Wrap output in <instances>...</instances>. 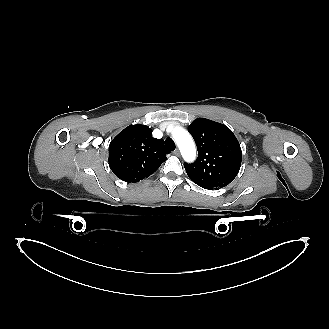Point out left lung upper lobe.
Returning <instances> with one entry per match:
<instances>
[{
  "label": "left lung upper lobe",
  "mask_w": 329,
  "mask_h": 329,
  "mask_svg": "<svg viewBox=\"0 0 329 329\" xmlns=\"http://www.w3.org/2000/svg\"><path fill=\"white\" fill-rule=\"evenodd\" d=\"M198 150L194 163L185 164L189 178L205 189L227 186L239 172L240 144L225 125L206 118L195 119L188 127Z\"/></svg>",
  "instance_id": "5c2ea615"
}]
</instances>
